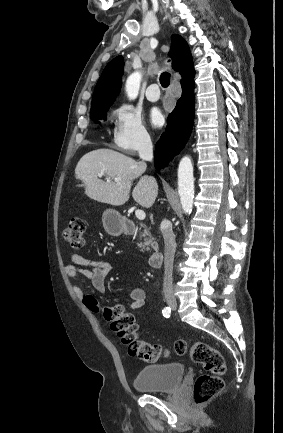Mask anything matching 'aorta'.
Wrapping results in <instances>:
<instances>
[{"label": "aorta", "mask_w": 283, "mask_h": 433, "mask_svg": "<svg viewBox=\"0 0 283 433\" xmlns=\"http://www.w3.org/2000/svg\"><path fill=\"white\" fill-rule=\"evenodd\" d=\"M141 83V73L134 72L126 80V93L130 100L138 96ZM178 193L185 214H190L194 200L193 164L190 157L180 160L178 167Z\"/></svg>", "instance_id": "aorta-1"}]
</instances>
